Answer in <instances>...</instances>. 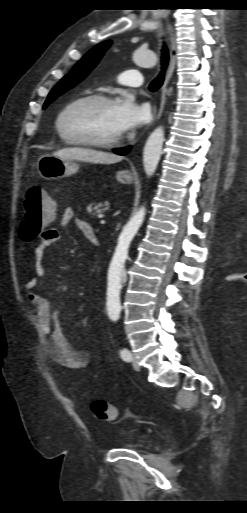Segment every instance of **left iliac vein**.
Here are the masks:
<instances>
[{
    "mask_svg": "<svg viewBox=\"0 0 247 513\" xmlns=\"http://www.w3.org/2000/svg\"><path fill=\"white\" fill-rule=\"evenodd\" d=\"M132 366H133L134 370H136V371L140 370V365L138 363V360L135 358V356H132Z\"/></svg>",
    "mask_w": 247,
    "mask_h": 513,
    "instance_id": "obj_1",
    "label": "left iliac vein"
}]
</instances>
